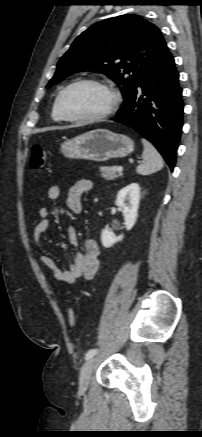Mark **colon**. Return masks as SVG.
Here are the masks:
<instances>
[{
    "mask_svg": "<svg viewBox=\"0 0 202 437\" xmlns=\"http://www.w3.org/2000/svg\"><path fill=\"white\" fill-rule=\"evenodd\" d=\"M47 161V150L41 145H35L32 148V154L30 158V167L32 169L42 168ZM68 323L71 327L76 324V312L74 308L69 307L68 309Z\"/></svg>",
    "mask_w": 202,
    "mask_h": 437,
    "instance_id": "5ec220e1",
    "label": "colon"
}]
</instances>
